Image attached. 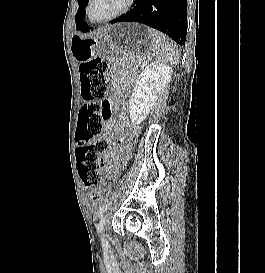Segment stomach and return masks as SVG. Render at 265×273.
Returning a JSON list of instances; mask_svg holds the SVG:
<instances>
[{
  "label": "stomach",
  "instance_id": "obj_1",
  "mask_svg": "<svg viewBox=\"0 0 265 273\" xmlns=\"http://www.w3.org/2000/svg\"><path fill=\"white\" fill-rule=\"evenodd\" d=\"M101 40H107V45L113 49H131L126 51V56H148V51L139 49H150L151 40L155 30H148V25H106V30H99ZM98 42L82 36H74L71 41V51L78 61L87 59L95 54ZM109 56H117V51H109Z\"/></svg>",
  "mask_w": 265,
  "mask_h": 273
}]
</instances>
